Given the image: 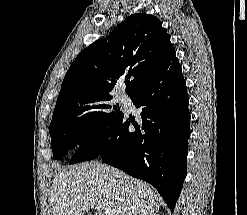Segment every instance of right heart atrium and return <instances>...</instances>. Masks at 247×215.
Returning a JSON list of instances; mask_svg holds the SVG:
<instances>
[{"label":"right heart atrium","mask_w":247,"mask_h":215,"mask_svg":"<svg viewBox=\"0 0 247 215\" xmlns=\"http://www.w3.org/2000/svg\"><path fill=\"white\" fill-rule=\"evenodd\" d=\"M82 132L87 136H91L93 133V129L89 125L85 124L82 127Z\"/></svg>","instance_id":"1"}]
</instances>
